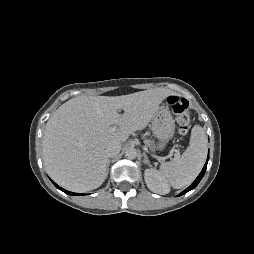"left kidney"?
Returning a JSON list of instances; mask_svg holds the SVG:
<instances>
[{
    "instance_id": "5707ae66",
    "label": "left kidney",
    "mask_w": 254,
    "mask_h": 254,
    "mask_svg": "<svg viewBox=\"0 0 254 254\" xmlns=\"http://www.w3.org/2000/svg\"><path fill=\"white\" fill-rule=\"evenodd\" d=\"M145 182L147 187L154 193L161 195L167 194L170 191V187L161 175V173L155 169H146L144 173Z\"/></svg>"
}]
</instances>
